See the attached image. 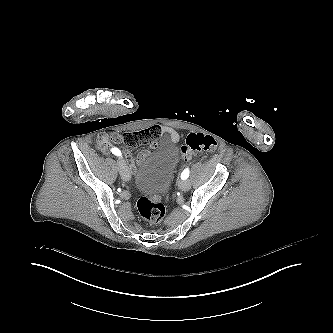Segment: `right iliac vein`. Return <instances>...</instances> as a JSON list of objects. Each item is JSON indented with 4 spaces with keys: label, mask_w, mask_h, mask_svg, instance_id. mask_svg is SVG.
Segmentation results:
<instances>
[{
    "label": "right iliac vein",
    "mask_w": 333,
    "mask_h": 333,
    "mask_svg": "<svg viewBox=\"0 0 333 333\" xmlns=\"http://www.w3.org/2000/svg\"><path fill=\"white\" fill-rule=\"evenodd\" d=\"M123 167H124V170L122 171V177L125 181H129L131 179V174H130L129 168L126 164Z\"/></svg>",
    "instance_id": "right-iliac-vein-1"
}]
</instances>
